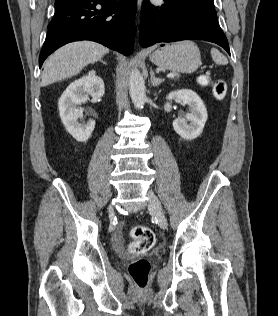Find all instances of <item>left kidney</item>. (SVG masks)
Here are the masks:
<instances>
[{
  "instance_id": "1",
  "label": "left kidney",
  "mask_w": 278,
  "mask_h": 316,
  "mask_svg": "<svg viewBox=\"0 0 278 316\" xmlns=\"http://www.w3.org/2000/svg\"><path fill=\"white\" fill-rule=\"evenodd\" d=\"M175 98L182 104L188 105L190 113L186 114V119H175L173 121V128L182 138L193 140L202 133L207 121L208 115L206 107L201 98L194 91L189 89L173 91L166 96L168 101ZM164 109L169 112L171 110V104L167 102L164 105Z\"/></svg>"
}]
</instances>
